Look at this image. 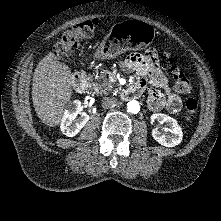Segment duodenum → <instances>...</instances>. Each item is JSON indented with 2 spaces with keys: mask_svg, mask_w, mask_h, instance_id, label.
<instances>
[{
  "mask_svg": "<svg viewBox=\"0 0 221 221\" xmlns=\"http://www.w3.org/2000/svg\"><path fill=\"white\" fill-rule=\"evenodd\" d=\"M72 85L75 88V90H77L78 92H86L89 87L85 74L81 72L73 73ZM141 93L142 91L140 90V88L136 84H134V85L127 87L124 90L123 95L125 98L131 99V98L139 97Z\"/></svg>",
  "mask_w": 221,
  "mask_h": 221,
  "instance_id": "obj_1",
  "label": "duodenum"
}]
</instances>
